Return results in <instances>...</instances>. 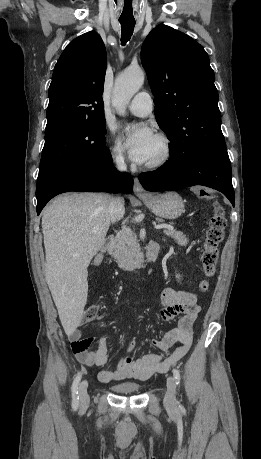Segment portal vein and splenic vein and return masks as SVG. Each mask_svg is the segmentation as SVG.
Segmentation results:
<instances>
[{"label": "portal vein and splenic vein", "mask_w": 261, "mask_h": 459, "mask_svg": "<svg viewBox=\"0 0 261 459\" xmlns=\"http://www.w3.org/2000/svg\"><path fill=\"white\" fill-rule=\"evenodd\" d=\"M123 231H126V232H131V229L130 228H127V227H122ZM155 229H173V226L171 225H167V224H159V225H155Z\"/></svg>", "instance_id": "portal-vein-and-splenic-vein-1"}]
</instances>
